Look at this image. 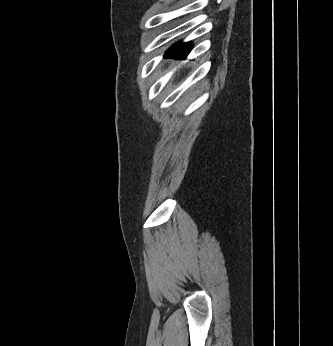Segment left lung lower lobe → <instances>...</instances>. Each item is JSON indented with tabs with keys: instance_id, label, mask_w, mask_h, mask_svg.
<instances>
[{
	"instance_id": "obj_1",
	"label": "left lung lower lobe",
	"mask_w": 333,
	"mask_h": 346,
	"mask_svg": "<svg viewBox=\"0 0 333 346\" xmlns=\"http://www.w3.org/2000/svg\"><path fill=\"white\" fill-rule=\"evenodd\" d=\"M192 47L193 45L190 43L174 44L167 50L165 57L184 59L189 54Z\"/></svg>"
}]
</instances>
